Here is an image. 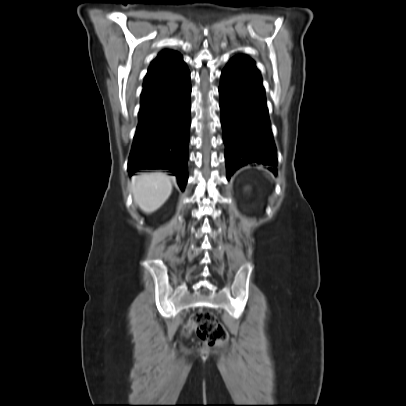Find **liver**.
Listing matches in <instances>:
<instances>
[{"instance_id": "liver-1", "label": "liver", "mask_w": 406, "mask_h": 406, "mask_svg": "<svg viewBox=\"0 0 406 406\" xmlns=\"http://www.w3.org/2000/svg\"><path fill=\"white\" fill-rule=\"evenodd\" d=\"M172 180L171 176L163 172L135 176L131 184L135 203L147 214L156 211L171 195Z\"/></svg>"}]
</instances>
